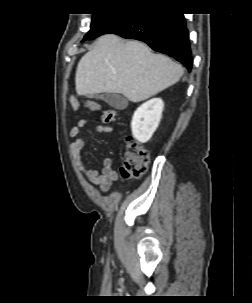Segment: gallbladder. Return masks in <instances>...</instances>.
Masks as SVG:
<instances>
[{
	"label": "gallbladder",
	"mask_w": 252,
	"mask_h": 303,
	"mask_svg": "<svg viewBox=\"0 0 252 303\" xmlns=\"http://www.w3.org/2000/svg\"><path fill=\"white\" fill-rule=\"evenodd\" d=\"M97 98L105 101L108 105L118 110L125 109L128 105V100L120 94L106 93L97 96Z\"/></svg>",
	"instance_id": "bac80fb5"
}]
</instances>
